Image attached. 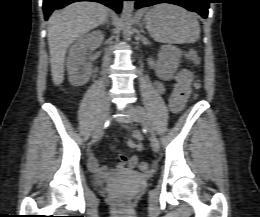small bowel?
Masks as SVG:
<instances>
[{"label": "small bowel", "mask_w": 260, "mask_h": 217, "mask_svg": "<svg viewBox=\"0 0 260 217\" xmlns=\"http://www.w3.org/2000/svg\"><path fill=\"white\" fill-rule=\"evenodd\" d=\"M192 81V74L188 70H179L174 78V84L170 95V107L175 113L179 112L184 104L186 97L189 94L190 83ZM156 89L160 93H164L165 89L160 81L154 83ZM128 147L132 150H141L143 148L142 136L139 132L133 131L132 139L128 142ZM138 159L136 156L128 157L120 155L116 167V172L123 173L131 171L137 165ZM89 169L96 174L99 178H105L112 175L113 171L105 166H100L95 156H90L88 160Z\"/></svg>", "instance_id": "1"}]
</instances>
